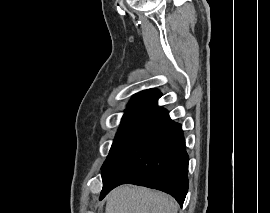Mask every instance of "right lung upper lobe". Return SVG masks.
Instances as JSON below:
<instances>
[{"mask_svg":"<svg viewBox=\"0 0 270 213\" xmlns=\"http://www.w3.org/2000/svg\"><path fill=\"white\" fill-rule=\"evenodd\" d=\"M161 92L157 89H148L137 93L131 99L128 107L133 106H151L156 108L158 105V99L161 97Z\"/></svg>","mask_w":270,"mask_h":213,"instance_id":"cb5924a9","label":"right lung upper lobe"}]
</instances>
